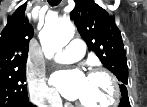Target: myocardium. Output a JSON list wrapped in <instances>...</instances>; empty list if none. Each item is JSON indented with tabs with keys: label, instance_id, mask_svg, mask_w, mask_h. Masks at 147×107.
<instances>
[{
	"label": "myocardium",
	"instance_id": "myocardium-1",
	"mask_svg": "<svg viewBox=\"0 0 147 107\" xmlns=\"http://www.w3.org/2000/svg\"><path fill=\"white\" fill-rule=\"evenodd\" d=\"M98 75L105 77L107 81L109 82L111 91H112L111 100L108 103L101 105V106H90L83 102L77 101L76 104L79 107H113L118 104L119 99H120V86H119V83L116 77L109 71L103 68H99V67L91 69L88 73V77H93V76H98Z\"/></svg>",
	"mask_w": 147,
	"mask_h": 107
}]
</instances>
